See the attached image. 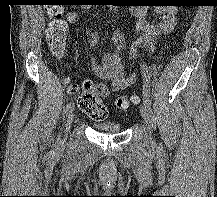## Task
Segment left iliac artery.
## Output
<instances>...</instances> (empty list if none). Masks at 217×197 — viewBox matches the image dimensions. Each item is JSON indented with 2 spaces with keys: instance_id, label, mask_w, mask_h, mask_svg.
Returning <instances> with one entry per match:
<instances>
[{
  "instance_id": "1",
  "label": "left iliac artery",
  "mask_w": 217,
  "mask_h": 197,
  "mask_svg": "<svg viewBox=\"0 0 217 197\" xmlns=\"http://www.w3.org/2000/svg\"><path fill=\"white\" fill-rule=\"evenodd\" d=\"M141 72H142V76H143V101L144 104L148 107V109L150 110L151 108V99H150V77H151V73H150V68L143 64L141 65Z\"/></svg>"
}]
</instances>
